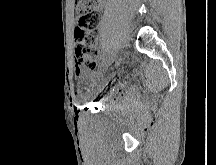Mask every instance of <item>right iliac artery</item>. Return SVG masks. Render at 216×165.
I'll return each mask as SVG.
<instances>
[{"instance_id":"obj_1","label":"right iliac artery","mask_w":216,"mask_h":165,"mask_svg":"<svg viewBox=\"0 0 216 165\" xmlns=\"http://www.w3.org/2000/svg\"><path fill=\"white\" fill-rule=\"evenodd\" d=\"M107 48L109 49V51H108V53L106 54V58H105V59L107 60L106 62L109 64V63L111 62L109 59H110L111 56H113V53H114V50H113V49H114L115 47H114L113 45H112V46L109 45Z\"/></svg>"}]
</instances>
